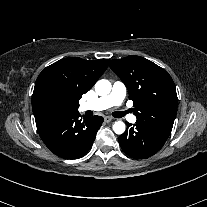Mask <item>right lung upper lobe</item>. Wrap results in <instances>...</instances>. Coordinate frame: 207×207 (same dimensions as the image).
Segmentation results:
<instances>
[{"mask_svg":"<svg viewBox=\"0 0 207 207\" xmlns=\"http://www.w3.org/2000/svg\"><path fill=\"white\" fill-rule=\"evenodd\" d=\"M107 65L106 59L87 61L70 57L46 67L38 76L32 95L36 126L78 113L80 98L92 88Z\"/></svg>","mask_w":207,"mask_h":207,"instance_id":"1","label":"right lung upper lobe"}]
</instances>
